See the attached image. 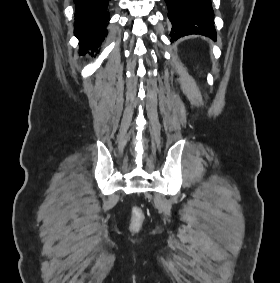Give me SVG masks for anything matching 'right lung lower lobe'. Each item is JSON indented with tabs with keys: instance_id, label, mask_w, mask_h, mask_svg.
<instances>
[{
	"instance_id": "obj_1",
	"label": "right lung lower lobe",
	"mask_w": 280,
	"mask_h": 283,
	"mask_svg": "<svg viewBox=\"0 0 280 283\" xmlns=\"http://www.w3.org/2000/svg\"><path fill=\"white\" fill-rule=\"evenodd\" d=\"M110 0H74L76 5L74 34L80 41V51L97 50L107 35L110 20L107 11Z\"/></svg>"
}]
</instances>
